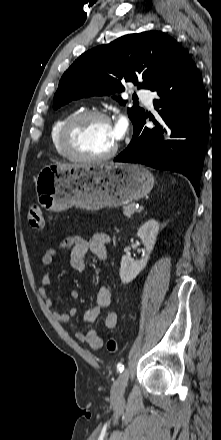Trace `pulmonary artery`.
Listing matches in <instances>:
<instances>
[{"mask_svg":"<svg viewBox=\"0 0 221 440\" xmlns=\"http://www.w3.org/2000/svg\"><path fill=\"white\" fill-rule=\"evenodd\" d=\"M138 97L149 107L153 108V95L152 92L146 89L138 91Z\"/></svg>","mask_w":221,"mask_h":440,"instance_id":"e3ab8cb5","label":"pulmonary artery"}]
</instances>
